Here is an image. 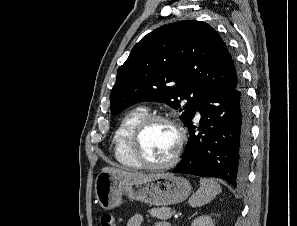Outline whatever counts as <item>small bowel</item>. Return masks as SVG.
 <instances>
[{"instance_id": "obj_1", "label": "small bowel", "mask_w": 297, "mask_h": 226, "mask_svg": "<svg viewBox=\"0 0 297 226\" xmlns=\"http://www.w3.org/2000/svg\"><path fill=\"white\" fill-rule=\"evenodd\" d=\"M143 216L141 214H135L127 222V226H142ZM155 226H169L168 223L164 221H159L155 223Z\"/></svg>"}]
</instances>
